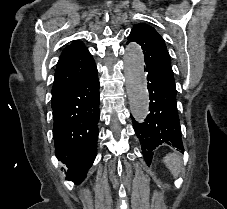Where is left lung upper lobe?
<instances>
[{"instance_id": "obj_1", "label": "left lung upper lobe", "mask_w": 227, "mask_h": 209, "mask_svg": "<svg viewBox=\"0 0 227 209\" xmlns=\"http://www.w3.org/2000/svg\"><path fill=\"white\" fill-rule=\"evenodd\" d=\"M132 41L142 47L146 70L156 71L175 86L170 55L160 34L152 26L136 24L128 36V43Z\"/></svg>"}]
</instances>
